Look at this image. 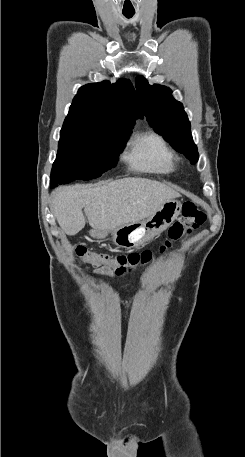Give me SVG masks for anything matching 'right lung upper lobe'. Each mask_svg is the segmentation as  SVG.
Segmentation results:
<instances>
[{
	"label": "right lung upper lobe",
	"instance_id": "cb5924a9",
	"mask_svg": "<svg viewBox=\"0 0 245 457\" xmlns=\"http://www.w3.org/2000/svg\"><path fill=\"white\" fill-rule=\"evenodd\" d=\"M142 116L132 84L120 79L115 84L103 81L81 87L66 119L133 126L135 118Z\"/></svg>",
	"mask_w": 245,
	"mask_h": 457
}]
</instances>
